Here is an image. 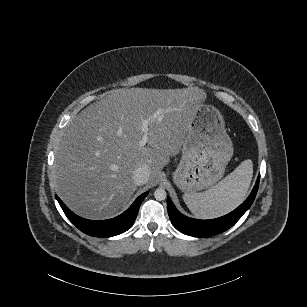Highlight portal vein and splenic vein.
Instances as JSON below:
<instances>
[{"mask_svg":"<svg viewBox=\"0 0 307 307\" xmlns=\"http://www.w3.org/2000/svg\"><path fill=\"white\" fill-rule=\"evenodd\" d=\"M165 116V113L162 112L161 110H157L155 113H153L151 116H149L148 118H145L142 120V128L143 129H147L148 128V125L151 121H155V120H158V119H162L163 117ZM147 133L145 134V136L139 141L138 143V148H144L146 142H147Z\"/></svg>","mask_w":307,"mask_h":307,"instance_id":"18ae733b","label":"portal vein and splenic vein"}]
</instances>
